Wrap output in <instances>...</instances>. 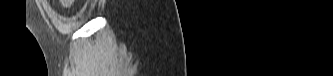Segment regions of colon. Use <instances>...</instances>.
<instances>
[{
	"label": "colon",
	"instance_id": "1",
	"mask_svg": "<svg viewBox=\"0 0 333 76\" xmlns=\"http://www.w3.org/2000/svg\"><path fill=\"white\" fill-rule=\"evenodd\" d=\"M60 2L64 7H69L73 3L72 0H61Z\"/></svg>",
	"mask_w": 333,
	"mask_h": 76
}]
</instances>
